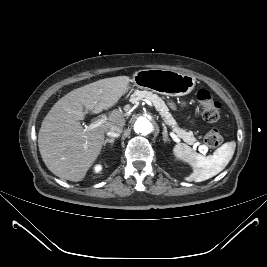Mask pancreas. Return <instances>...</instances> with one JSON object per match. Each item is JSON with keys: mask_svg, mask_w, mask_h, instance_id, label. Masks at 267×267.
<instances>
[{"mask_svg": "<svg viewBox=\"0 0 267 267\" xmlns=\"http://www.w3.org/2000/svg\"><path fill=\"white\" fill-rule=\"evenodd\" d=\"M142 99L150 100L153 103L156 110H158L164 117L165 121L172 126L173 132H175L179 138L183 139V141L189 145H193L195 143L196 138L193 136V132H186L185 130L178 127L165 102L157 94H153L152 92L146 90H137L131 95L129 101L134 104Z\"/></svg>", "mask_w": 267, "mask_h": 267, "instance_id": "cf45deb5", "label": "pancreas"}]
</instances>
